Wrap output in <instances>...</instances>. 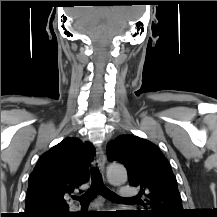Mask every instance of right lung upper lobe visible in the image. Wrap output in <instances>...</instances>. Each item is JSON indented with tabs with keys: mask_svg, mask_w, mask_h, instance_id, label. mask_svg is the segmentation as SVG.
Wrapping results in <instances>:
<instances>
[{
	"mask_svg": "<svg viewBox=\"0 0 217 217\" xmlns=\"http://www.w3.org/2000/svg\"><path fill=\"white\" fill-rule=\"evenodd\" d=\"M95 154L89 142L67 137L44 153L29 177L23 217H70L65 198L88 181Z\"/></svg>",
	"mask_w": 217,
	"mask_h": 217,
	"instance_id": "obj_1",
	"label": "right lung upper lobe"
}]
</instances>
